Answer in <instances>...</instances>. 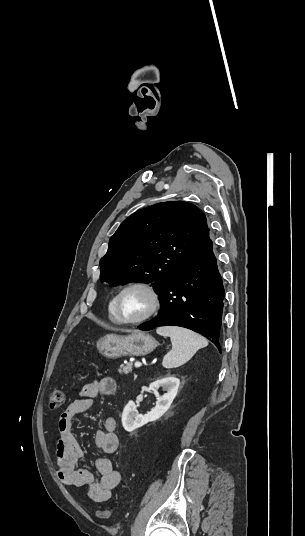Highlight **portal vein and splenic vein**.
<instances>
[{
	"label": "portal vein and splenic vein",
	"mask_w": 305,
	"mask_h": 536,
	"mask_svg": "<svg viewBox=\"0 0 305 536\" xmlns=\"http://www.w3.org/2000/svg\"><path fill=\"white\" fill-rule=\"evenodd\" d=\"M135 368H140L142 366L141 362H135L134 364Z\"/></svg>",
	"instance_id": "18ae733b"
}]
</instances>
